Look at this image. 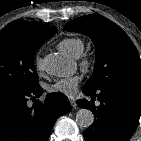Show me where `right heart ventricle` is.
<instances>
[{
  "label": "right heart ventricle",
  "mask_w": 141,
  "mask_h": 141,
  "mask_svg": "<svg viewBox=\"0 0 141 141\" xmlns=\"http://www.w3.org/2000/svg\"><path fill=\"white\" fill-rule=\"evenodd\" d=\"M84 47V41L78 37L64 38L58 43L61 51L75 58L82 54Z\"/></svg>",
  "instance_id": "right-heart-ventricle-1"
}]
</instances>
